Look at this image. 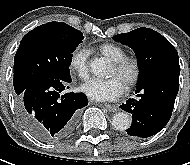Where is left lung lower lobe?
<instances>
[{"instance_id": "1", "label": "left lung lower lobe", "mask_w": 190, "mask_h": 165, "mask_svg": "<svg viewBox=\"0 0 190 165\" xmlns=\"http://www.w3.org/2000/svg\"><path fill=\"white\" fill-rule=\"evenodd\" d=\"M180 68L158 70L137 83L138 100L129 99L120 108L132 114L130 136L150 137L169 121L179 89Z\"/></svg>"}]
</instances>
